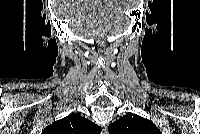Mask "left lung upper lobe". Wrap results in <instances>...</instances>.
Returning <instances> with one entry per match:
<instances>
[{"label":"left lung upper lobe","instance_id":"obj_1","mask_svg":"<svg viewBox=\"0 0 200 134\" xmlns=\"http://www.w3.org/2000/svg\"><path fill=\"white\" fill-rule=\"evenodd\" d=\"M108 130L110 134H161L152 121L133 113L110 124Z\"/></svg>","mask_w":200,"mask_h":134}]
</instances>
